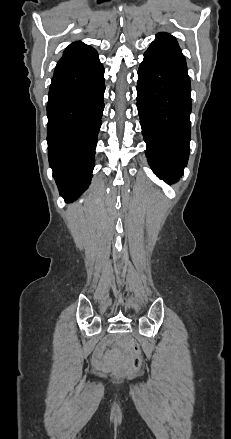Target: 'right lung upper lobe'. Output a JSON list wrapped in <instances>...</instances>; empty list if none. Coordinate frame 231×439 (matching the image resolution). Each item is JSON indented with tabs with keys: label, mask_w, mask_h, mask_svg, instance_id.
<instances>
[{
	"label": "right lung upper lobe",
	"mask_w": 231,
	"mask_h": 439,
	"mask_svg": "<svg viewBox=\"0 0 231 439\" xmlns=\"http://www.w3.org/2000/svg\"><path fill=\"white\" fill-rule=\"evenodd\" d=\"M97 51L80 41L70 44L56 65L54 75L80 67L97 57Z\"/></svg>",
	"instance_id": "right-lung-upper-lobe-1"
}]
</instances>
